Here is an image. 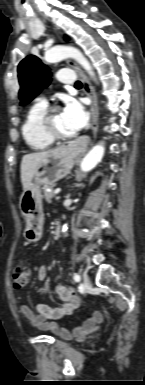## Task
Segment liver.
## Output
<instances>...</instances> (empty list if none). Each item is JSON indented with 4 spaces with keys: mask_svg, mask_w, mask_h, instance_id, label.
Listing matches in <instances>:
<instances>
[{
    "mask_svg": "<svg viewBox=\"0 0 145 385\" xmlns=\"http://www.w3.org/2000/svg\"><path fill=\"white\" fill-rule=\"evenodd\" d=\"M53 151L34 152L23 156L21 162V182L24 191L30 186L39 164Z\"/></svg>",
    "mask_w": 145,
    "mask_h": 385,
    "instance_id": "obj_1",
    "label": "liver"
}]
</instances>
